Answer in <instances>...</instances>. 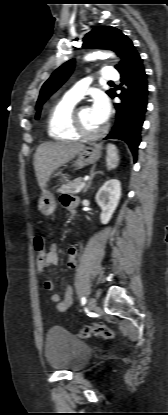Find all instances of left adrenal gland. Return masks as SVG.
I'll use <instances>...</instances> for the list:
<instances>
[{
	"label": "left adrenal gland",
	"instance_id": "obj_1",
	"mask_svg": "<svg viewBox=\"0 0 168 415\" xmlns=\"http://www.w3.org/2000/svg\"><path fill=\"white\" fill-rule=\"evenodd\" d=\"M99 173H101V172H99V171L98 172H95V168L94 167L91 169L89 181H88L87 185L85 186V188L83 190L84 193H86L87 190L90 188V186L92 184V180L95 177V175L96 174H99Z\"/></svg>",
	"mask_w": 168,
	"mask_h": 415
}]
</instances>
